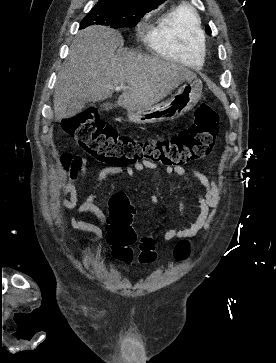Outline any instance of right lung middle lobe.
Wrapping results in <instances>:
<instances>
[{"label": "right lung middle lobe", "mask_w": 276, "mask_h": 363, "mask_svg": "<svg viewBox=\"0 0 276 363\" xmlns=\"http://www.w3.org/2000/svg\"><path fill=\"white\" fill-rule=\"evenodd\" d=\"M155 6L146 4L123 5L99 1L80 23V29L90 25H104L118 29L134 27L145 13Z\"/></svg>", "instance_id": "right-lung-middle-lobe-1"}]
</instances>
